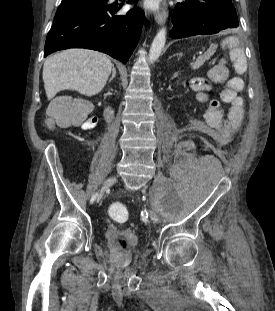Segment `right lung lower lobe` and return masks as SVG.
<instances>
[{
    "label": "right lung lower lobe",
    "instance_id": "1",
    "mask_svg": "<svg viewBox=\"0 0 275 311\" xmlns=\"http://www.w3.org/2000/svg\"><path fill=\"white\" fill-rule=\"evenodd\" d=\"M120 6L117 3L107 4L55 18L46 38L44 57L57 50L88 48L126 63L137 45L144 14L139 8H134L123 15H116Z\"/></svg>",
    "mask_w": 275,
    "mask_h": 311
}]
</instances>
